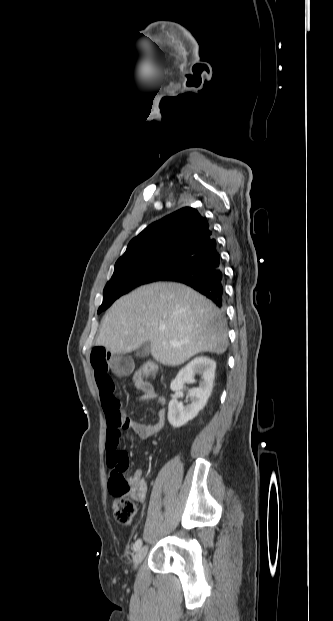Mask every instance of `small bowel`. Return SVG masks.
I'll return each instance as SVG.
<instances>
[{
	"label": "small bowel",
	"instance_id": "1",
	"mask_svg": "<svg viewBox=\"0 0 333 621\" xmlns=\"http://www.w3.org/2000/svg\"><path fill=\"white\" fill-rule=\"evenodd\" d=\"M90 362L106 417L107 464L111 469L116 466H123L127 469L129 465L128 455L119 447L123 432L131 430L140 439H147L158 433L165 423L166 413L163 407L165 399L158 394L150 382L134 376L133 382L136 390L139 392V400H157L162 406L158 412V420L155 423L145 424L134 421L126 417L122 412L120 402L114 394V381L109 374L110 371L116 373L124 371L129 366L128 361L112 355L103 347H95L91 351ZM131 478L143 482L144 491L135 499L139 501L144 500L147 487L142 477V471L136 470Z\"/></svg>",
	"mask_w": 333,
	"mask_h": 621
}]
</instances>
